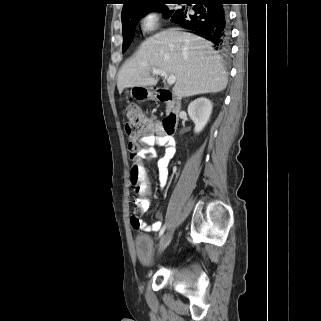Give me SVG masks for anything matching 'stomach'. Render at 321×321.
I'll return each instance as SVG.
<instances>
[{
    "mask_svg": "<svg viewBox=\"0 0 321 321\" xmlns=\"http://www.w3.org/2000/svg\"><path fill=\"white\" fill-rule=\"evenodd\" d=\"M129 92L132 97L139 101L152 97V92L147 87H132Z\"/></svg>",
    "mask_w": 321,
    "mask_h": 321,
    "instance_id": "stomach-1",
    "label": "stomach"
}]
</instances>
